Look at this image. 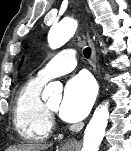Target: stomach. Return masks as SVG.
Returning a JSON list of instances; mask_svg holds the SVG:
<instances>
[{
    "label": "stomach",
    "mask_w": 131,
    "mask_h": 151,
    "mask_svg": "<svg viewBox=\"0 0 131 151\" xmlns=\"http://www.w3.org/2000/svg\"><path fill=\"white\" fill-rule=\"evenodd\" d=\"M63 151H65V149H63ZM69 151H72V149H70Z\"/></svg>",
    "instance_id": "0dacf381"
}]
</instances>
